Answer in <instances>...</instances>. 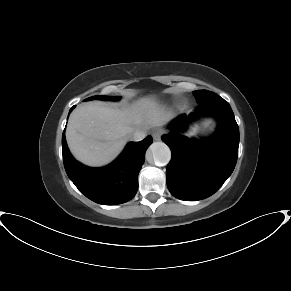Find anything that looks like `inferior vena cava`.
<instances>
[{
  "instance_id": "602c4592",
  "label": "inferior vena cava",
  "mask_w": 291,
  "mask_h": 291,
  "mask_svg": "<svg viewBox=\"0 0 291 291\" xmlns=\"http://www.w3.org/2000/svg\"><path fill=\"white\" fill-rule=\"evenodd\" d=\"M147 133L146 130H136L132 134V140L133 141H141L146 137Z\"/></svg>"
}]
</instances>
